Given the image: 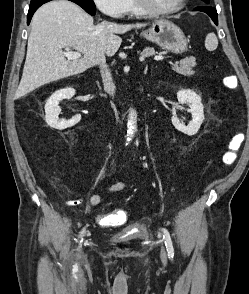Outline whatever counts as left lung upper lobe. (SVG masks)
I'll use <instances>...</instances> for the list:
<instances>
[{
    "label": "left lung upper lobe",
    "mask_w": 249,
    "mask_h": 294,
    "mask_svg": "<svg viewBox=\"0 0 249 294\" xmlns=\"http://www.w3.org/2000/svg\"><path fill=\"white\" fill-rule=\"evenodd\" d=\"M203 2H205L206 4H209L210 0H202Z\"/></svg>",
    "instance_id": "left-lung-upper-lobe-1"
}]
</instances>
